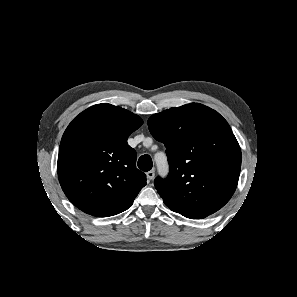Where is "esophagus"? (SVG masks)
Returning a JSON list of instances; mask_svg holds the SVG:
<instances>
[{"label": "esophagus", "instance_id": "obj_1", "mask_svg": "<svg viewBox=\"0 0 297 297\" xmlns=\"http://www.w3.org/2000/svg\"><path fill=\"white\" fill-rule=\"evenodd\" d=\"M146 176H147V179H148V180H152V179H154V176H155V172H154V170H150V171H148V172L146 173Z\"/></svg>", "mask_w": 297, "mask_h": 297}]
</instances>
